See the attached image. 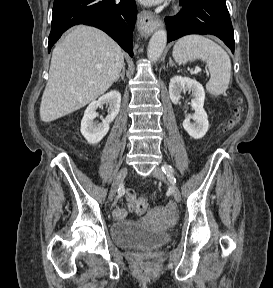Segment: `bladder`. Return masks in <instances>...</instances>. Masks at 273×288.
I'll list each match as a JSON object with an SVG mask.
<instances>
[{"label": "bladder", "instance_id": "bladder-1", "mask_svg": "<svg viewBox=\"0 0 273 288\" xmlns=\"http://www.w3.org/2000/svg\"><path fill=\"white\" fill-rule=\"evenodd\" d=\"M113 244L120 248H157L172 239L169 231H159L136 222L115 223L110 228Z\"/></svg>", "mask_w": 273, "mask_h": 288}]
</instances>
